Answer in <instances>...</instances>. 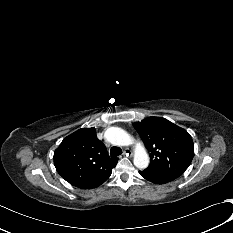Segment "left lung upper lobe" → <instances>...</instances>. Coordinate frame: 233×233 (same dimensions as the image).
Listing matches in <instances>:
<instances>
[{
  "label": "left lung upper lobe",
  "instance_id": "1",
  "mask_svg": "<svg viewBox=\"0 0 233 233\" xmlns=\"http://www.w3.org/2000/svg\"><path fill=\"white\" fill-rule=\"evenodd\" d=\"M133 126L150 152L144 172L167 183L186 171L194 155L192 137L186 130L161 117H148Z\"/></svg>",
  "mask_w": 233,
  "mask_h": 233
}]
</instances>
